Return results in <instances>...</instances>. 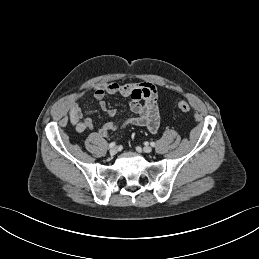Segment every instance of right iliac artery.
<instances>
[{"label": "right iliac artery", "instance_id": "1", "mask_svg": "<svg viewBox=\"0 0 259 259\" xmlns=\"http://www.w3.org/2000/svg\"><path fill=\"white\" fill-rule=\"evenodd\" d=\"M115 145H116L115 142H111V143L109 144V148H113Z\"/></svg>", "mask_w": 259, "mask_h": 259}]
</instances>
